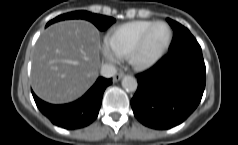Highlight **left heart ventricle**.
Here are the masks:
<instances>
[{"label": "left heart ventricle", "mask_w": 238, "mask_h": 145, "mask_svg": "<svg viewBox=\"0 0 238 145\" xmlns=\"http://www.w3.org/2000/svg\"><path fill=\"white\" fill-rule=\"evenodd\" d=\"M168 31L164 26H157L151 32V35L147 41L143 57H149L154 54L166 41Z\"/></svg>", "instance_id": "b2bd125f"}]
</instances>
